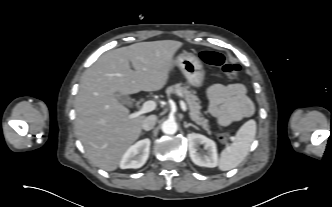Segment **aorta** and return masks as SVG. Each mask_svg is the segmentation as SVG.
Listing matches in <instances>:
<instances>
[{"label": "aorta", "instance_id": "obj_1", "mask_svg": "<svg viewBox=\"0 0 332 207\" xmlns=\"http://www.w3.org/2000/svg\"><path fill=\"white\" fill-rule=\"evenodd\" d=\"M162 131L165 134H174V133H176L177 123L172 119H168V120L164 121L163 124H162Z\"/></svg>", "mask_w": 332, "mask_h": 207}]
</instances>
